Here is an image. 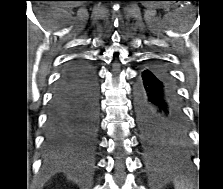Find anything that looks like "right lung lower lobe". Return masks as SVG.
Segmentation results:
<instances>
[{
	"label": "right lung lower lobe",
	"instance_id": "obj_1",
	"mask_svg": "<svg viewBox=\"0 0 223 189\" xmlns=\"http://www.w3.org/2000/svg\"><path fill=\"white\" fill-rule=\"evenodd\" d=\"M98 82L95 69L84 59L66 66L54 89L46 128L49 152H86L98 127Z\"/></svg>",
	"mask_w": 223,
	"mask_h": 189
}]
</instances>
